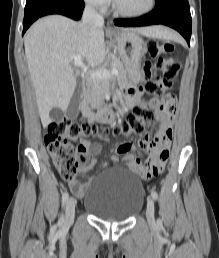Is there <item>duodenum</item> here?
<instances>
[{"label": "duodenum", "instance_id": "1", "mask_svg": "<svg viewBox=\"0 0 219 258\" xmlns=\"http://www.w3.org/2000/svg\"><path fill=\"white\" fill-rule=\"evenodd\" d=\"M89 94V85L85 84L83 87V98H86ZM114 118V111L110 106H105L100 114H99V119L103 121H109Z\"/></svg>", "mask_w": 219, "mask_h": 258}]
</instances>
